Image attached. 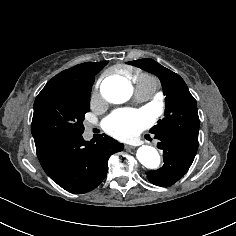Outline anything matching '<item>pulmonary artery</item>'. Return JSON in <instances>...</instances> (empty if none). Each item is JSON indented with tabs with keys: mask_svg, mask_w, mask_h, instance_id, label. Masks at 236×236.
Segmentation results:
<instances>
[{
	"mask_svg": "<svg viewBox=\"0 0 236 236\" xmlns=\"http://www.w3.org/2000/svg\"><path fill=\"white\" fill-rule=\"evenodd\" d=\"M155 89L147 88V87H136L135 88V96L139 100H148L154 94ZM91 128V127H90Z\"/></svg>",
	"mask_w": 236,
	"mask_h": 236,
	"instance_id": "e3ab8cb5",
	"label": "pulmonary artery"
}]
</instances>
